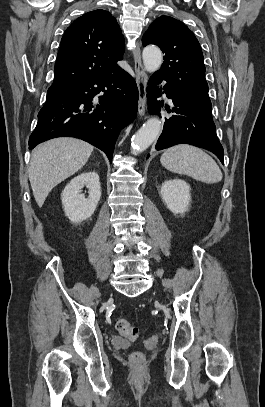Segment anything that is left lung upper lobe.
<instances>
[{
    "label": "left lung upper lobe",
    "mask_w": 265,
    "mask_h": 407,
    "mask_svg": "<svg viewBox=\"0 0 265 407\" xmlns=\"http://www.w3.org/2000/svg\"><path fill=\"white\" fill-rule=\"evenodd\" d=\"M143 46L157 45L164 62L157 73L181 96L212 112L205 79L201 47L195 35L181 21L161 16L142 37Z\"/></svg>",
    "instance_id": "obj_1"
}]
</instances>
